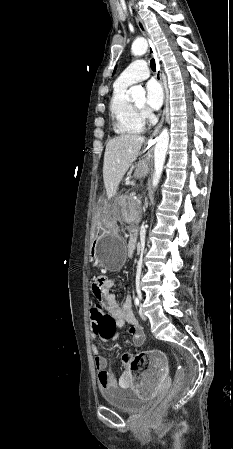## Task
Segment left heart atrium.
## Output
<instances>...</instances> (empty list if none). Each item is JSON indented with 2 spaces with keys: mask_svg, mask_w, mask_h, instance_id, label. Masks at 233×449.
<instances>
[{
  "mask_svg": "<svg viewBox=\"0 0 233 449\" xmlns=\"http://www.w3.org/2000/svg\"><path fill=\"white\" fill-rule=\"evenodd\" d=\"M163 102V90L160 84L151 80L146 84V104L149 110H159Z\"/></svg>",
  "mask_w": 233,
  "mask_h": 449,
  "instance_id": "left-heart-atrium-1",
  "label": "left heart atrium"
}]
</instances>
